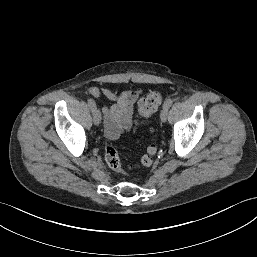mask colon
<instances>
[{
  "mask_svg": "<svg viewBox=\"0 0 257 257\" xmlns=\"http://www.w3.org/2000/svg\"><path fill=\"white\" fill-rule=\"evenodd\" d=\"M161 104V95L158 92H150L144 96L139 101V111L144 118H149ZM157 152L155 145H150L146 153L142 156L140 161L134 165V167L139 166H150L153 162V157ZM104 157L107 165L113 171L120 173L121 172V162L119 159L118 152L111 141V139H106L104 142Z\"/></svg>",
  "mask_w": 257,
  "mask_h": 257,
  "instance_id": "colon-1",
  "label": "colon"
}]
</instances>
